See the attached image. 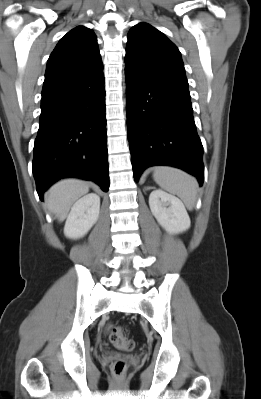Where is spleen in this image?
I'll use <instances>...</instances> for the list:
<instances>
[{"mask_svg":"<svg viewBox=\"0 0 261 399\" xmlns=\"http://www.w3.org/2000/svg\"><path fill=\"white\" fill-rule=\"evenodd\" d=\"M153 178L162 189L180 197L189 210L194 208L198 189L194 177L173 167L160 166L154 169Z\"/></svg>","mask_w":261,"mask_h":399,"instance_id":"spleen-1","label":"spleen"}]
</instances>
